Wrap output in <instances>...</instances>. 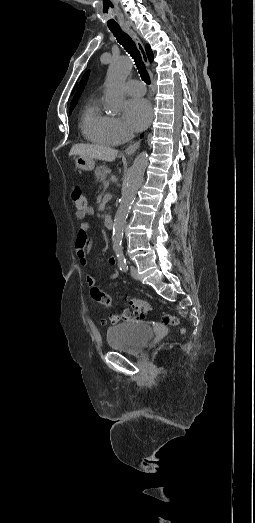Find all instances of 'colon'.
<instances>
[{
	"instance_id": "1",
	"label": "colon",
	"mask_w": 255,
	"mask_h": 523,
	"mask_svg": "<svg viewBox=\"0 0 255 523\" xmlns=\"http://www.w3.org/2000/svg\"><path fill=\"white\" fill-rule=\"evenodd\" d=\"M71 201L73 206L76 208L78 212L84 211L87 208V198L82 192V190L79 187H75L71 193ZM90 293L92 298L104 305V306H111L113 303V299L110 295L99 289L94 284L90 285ZM128 305L132 308L131 311H124L121 315H110L109 321L111 323H117L121 320H129L131 318H138L145 316L149 310H150V304L141 299L137 298H130L127 300ZM162 322L164 324L173 325V326H179L180 321L179 319L171 314H164L162 317ZM181 332L183 333L184 330L181 329Z\"/></svg>"
}]
</instances>
